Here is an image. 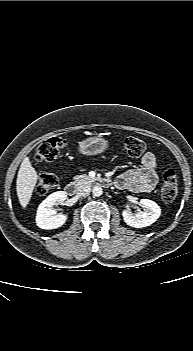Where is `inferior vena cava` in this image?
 <instances>
[{
  "instance_id": "1",
  "label": "inferior vena cava",
  "mask_w": 193,
  "mask_h": 351,
  "mask_svg": "<svg viewBox=\"0 0 193 351\" xmlns=\"http://www.w3.org/2000/svg\"><path fill=\"white\" fill-rule=\"evenodd\" d=\"M80 196H88L91 192V188L87 184L80 185L77 189Z\"/></svg>"
}]
</instances>
